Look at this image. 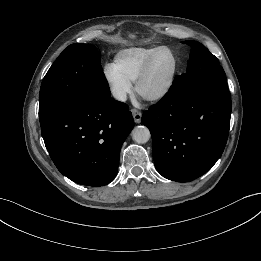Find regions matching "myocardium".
Returning <instances> with one entry per match:
<instances>
[{
    "mask_svg": "<svg viewBox=\"0 0 261 261\" xmlns=\"http://www.w3.org/2000/svg\"><path fill=\"white\" fill-rule=\"evenodd\" d=\"M161 51H168L171 53V55L173 57V68H172L171 74H170L167 82L164 84V86H162L159 90H157L153 93H144L142 91V86L149 75V72H150V69H151V66L153 64L155 57ZM177 73H178V57H177L176 53L170 47L160 46L148 58V60L144 64L142 70L140 71L138 77L136 78L135 91L141 98H143L146 101L159 102V101L163 100L164 98H166L167 95L171 92V90L174 86L176 77H177Z\"/></svg>",
    "mask_w": 261,
    "mask_h": 261,
    "instance_id": "myocardium-1",
    "label": "myocardium"
}]
</instances>
